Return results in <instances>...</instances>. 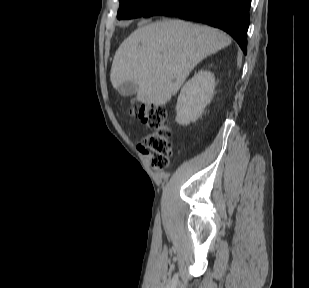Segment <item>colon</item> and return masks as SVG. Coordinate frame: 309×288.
<instances>
[{
  "mask_svg": "<svg viewBox=\"0 0 309 288\" xmlns=\"http://www.w3.org/2000/svg\"><path fill=\"white\" fill-rule=\"evenodd\" d=\"M128 114L151 130L139 142L141 153L150 157L155 169L168 167L172 153V131L166 124L167 111L155 104L136 103L129 107Z\"/></svg>",
  "mask_w": 309,
  "mask_h": 288,
  "instance_id": "obj_1",
  "label": "colon"
}]
</instances>
